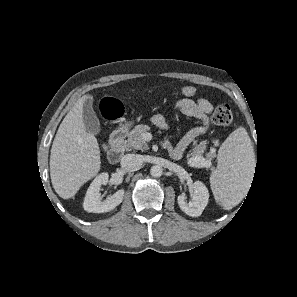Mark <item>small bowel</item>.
Here are the masks:
<instances>
[{
  "mask_svg": "<svg viewBox=\"0 0 297 297\" xmlns=\"http://www.w3.org/2000/svg\"><path fill=\"white\" fill-rule=\"evenodd\" d=\"M174 109L180 111L183 115L196 119L199 124L190 129L177 144L166 140L164 147L173 159H180L184 151L198 138L207 133L210 129V114L213 105L205 98L191 99L182 98L174 103ZM152 123L160 129H167L168 122L161 114L152 117Z\"/></svg>",
  "mask_w": 297,
  "mask_h": 297,
  "instance_id": "obj_1",
  "label": "small bowel"
}]
</instances>
